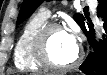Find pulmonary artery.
<instances>
[{
  "instance_id": "obj_1",
  "label": "pulmonary artery",
  "mask_w": 107,
  "mask_h": 75,
  "mask_svg": "<svg viewBox=\"0 0 107 75\" xmlns=\"http://www.w3.org/2000/svg\"><path fill=\"white\" fill-rule=\"evenodd\" d=\"M39 14L44 17L45 19H47L49 16H50V11L45 8V7H42L40 10H39Z\"/></svg>"
}]
</instances>
